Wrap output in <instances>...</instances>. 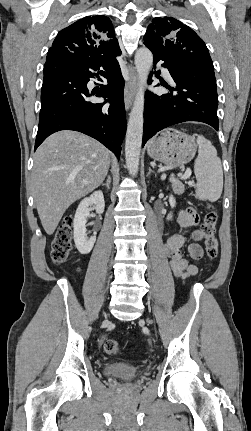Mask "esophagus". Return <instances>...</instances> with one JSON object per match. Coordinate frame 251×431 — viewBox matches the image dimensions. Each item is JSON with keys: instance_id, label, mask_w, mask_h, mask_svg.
<instances>
[{"instance_id": "esophagus-1", "label": "esophagus", "mask_w": 251, "mask_h": 431, "mask_svg": "<svg viewBox=\"0 0 251 431\" xmlns=\"http://www.w3.org/2000/svg\"><path fill=\"white\" fill-rule=\"evenodd\" d=\"M127 68L129 72V80L126 83L125 89H124V103H125V108L128 111L132 105L136 87H137V72H136V69L131 64H128Z\"/></svg>"}]
</instances>
